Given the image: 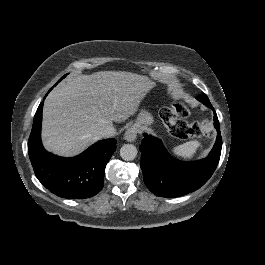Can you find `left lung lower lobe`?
Segmentation results:
<instances>
[{"label": "left lung lower lobe", "mask_w": 265, "mask_h": 265, "mask_svg": "<svg viewBox=\"0 0 265 265\" xmlns=\"http://www.w3.org/2000/svg\"><path fill=\"white\" fill-rule=\"evenodd\" d=\"M197 99L213 110L218 132L216 143L206 159L179 161L168 154L159 139L144 134L139 148L141 169L146 186L157 196L178 197L193 192L207 182L217 167L222 148L219 121L208 97L203 94Z\"/></svg>", "instance_id": "obj_1"}]
</instances>
